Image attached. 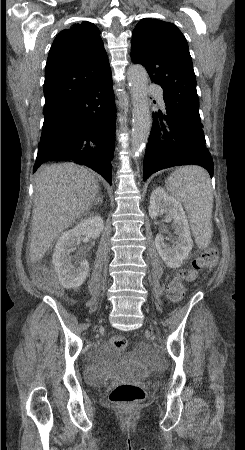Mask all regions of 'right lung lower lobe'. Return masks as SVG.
I'll return each mask as SVG.
<instances>
[{
  "instance_id": "right-lung-lower-lobe-1",
  "label": "right lung lower lobe",
  "mask_w": 245,
  "mask_h": 450,
  "mask_svg": "<svg viewBox=\"0 0 245 450\" xmlns=\"http://www.w3.org/2000/svg\"><path fill=\"white\" fill-rule=\"evenodd\" d=\"M111 73L62 105L44 112L38 155L33 167L47 161L86 165L111 184L116 106Z\"/></svg>"
}]
</instances>
